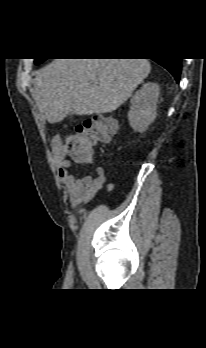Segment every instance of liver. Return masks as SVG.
<instances>
[{"label": "liver", "instance_id": "1", "mask_svg": "<svg viewBox=\"0 0 206 348\" xmlns=\"http://www.w3.org/2000/svg\"><path fill=\"white\" fill-rule=\"evenodd\" d=\"M147 59H54L36 73L33 97L49 123L110 113L148 76Z\"/></svg>", "mask_w": 206, "mask_h": 348}]
</instances>
